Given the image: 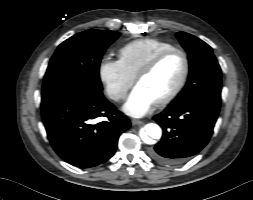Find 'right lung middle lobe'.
Masks as SVG:
<instances>
[{"instance_id":"1","label":"right lung middle lobe","mask_w":253,"mask_h":200,"mask_svg":"<svg viewBox=\"0 0 253 200\" xmlns=\"http://www.w3.org/2000/svg\"><path fill=\"white\" fill-rule=\"evenodd\" d=\"M119 35L116 31L87 30L65 40L50 60L42 92L72 89L101 96L100 61Z\"/></svg>"}]
</instances>
